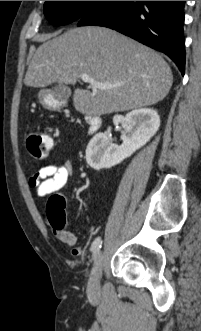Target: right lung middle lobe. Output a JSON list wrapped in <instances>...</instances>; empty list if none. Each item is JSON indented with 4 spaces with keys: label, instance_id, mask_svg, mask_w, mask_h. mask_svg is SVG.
<instances>
[{
    "label": "right lung middle lobe",
    "instance_id": "1",
    "mask_svg": "<svg viewBox=\"0 0 201 331\" xmlns=\"http://www.w3.org/2000/svg\"><path fill=\"white\" fill-rule=\"evenodd\" d=\"M103 1H46L44 14L51 24L63 25L80 20Z\"/></svg>",
    "mask_w": 201,
    "mask_h": 331
}]
</instances>
